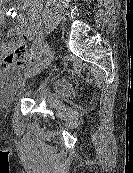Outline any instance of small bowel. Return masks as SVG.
I'll return each mask as SVG.
<instances>
[{
  "mask_svg": "<svg viewBox=\"0 0 133 173\" xmlns=\"http://www.w3.org/2000/svg\"><path fill=\"white\" fill-rule=\"evenodd\" d=\"M20 6L22 8L29 7L27 17H21V25L12 28L9 35H17L23 39H32L39 29V7L40 0H22ZM4 12L0 9V25L4 21Z\"/></svg>",
  "mask_w": 133,
  "mask_h": 173,
  "instance_id": "1",
  "label": "small bowel"
}]
</instances>
